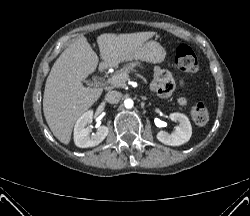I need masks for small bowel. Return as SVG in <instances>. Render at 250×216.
<instances>
[{"label":"small bowel","mask_w":250,"mask_h":216,"mask_svg":"<svg viewBox=\"0 0 250 216\" xmlns=\"http://www.w3.org/2000/svg\"><path fill=\"white\" fill-rule=\"evenodd\" d=\"M153 88L161 97H168L174 89V80L171 74L162 69H156L153 78ZM178 103L185 105L186 100L179 98Z\"/></svg>","instance_id":"1"}]
</instances>
